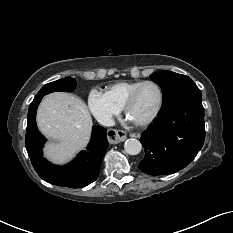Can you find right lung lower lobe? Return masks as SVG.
<instances>
[{
	"label": "right lung lower lobe",
	"instance_id": "obj_1",
	"mask_svg": "<svg viewBox=\"0 0 233 233\" xmlns=\"http://www.w3.org/2000/svg\"><path fill=\"white\" fill-rule=\"evenodd\" d=\"M43 96H35L28 110L25 146L32 165L45 181L63 187L78 188L94 182L100 172L104 154L108 148L107 130L94 126L87 150L78 154L75 160L66 166H55L42 155L44 136L36 125V110Z\"/></svg>",
	"mask_w": 233,
	"mask_h": 233
}]
</instances>
